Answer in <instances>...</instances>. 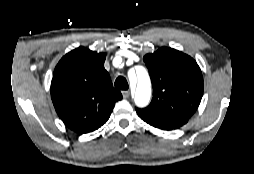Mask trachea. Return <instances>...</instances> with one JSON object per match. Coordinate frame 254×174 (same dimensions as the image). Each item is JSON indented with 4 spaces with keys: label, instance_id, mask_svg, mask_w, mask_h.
Returning <instances> with one entry per match:
<instances>
[{
    "label": "trachea",
    "instance_id": "obj_1",
    "mask_svg": "<svg viewBox=\"0 0 254 174\" xmlns=\"http://www.w3.org/2000/svg\"><path fill=\"white\" fill-rule=\"evenodd\" d=\"M115 87L121 90H127L129 88L127 80L123 76H119L114 83Z\"/></svg>",
    "mask_w": 254,
    "mask_h": 174
}]
</instances>
